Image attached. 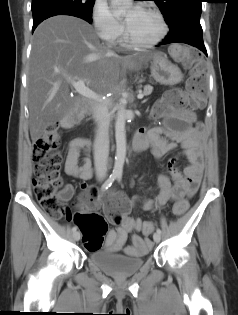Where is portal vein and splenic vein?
Segmentation results:
<instances>
[{"label": "portal vein and splenic vein", "instance_id": "portal-vein-and-splenic-vein-1", "mask_svg": "<svg viewBox=\"0 0 238 315\" xmlns=\"http://www.w3.org/2000/svg\"><path fill=\"white\" fill-rule=\"evenodd\" d=\"M72 86L75 88L76 92L79 93L80 95L90 98V99H98L99 95H97L94 91H92L90 88H88L85 85V82L80 80V81H71ZM144 95L142 93H139L137 95L138 99H142Z\"/></svg>", "mask_w": 238, "mask_h": 315}]
</instances>
